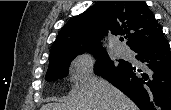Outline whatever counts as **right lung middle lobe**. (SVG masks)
<instances>
[{"instance_id":"obj_1","label":"right lung middle lobe","mask_w":171,"mask_h":110,"mask_svg":"<svg viewBox=\"0 0 171 110\" xmlns=\"http://www.w3.org/2000/svg\"><path fill=\"white\" fill-rule=\"evenodd\" d=\"M89 53L93 54L98 59L96 62V70L99 75H105L126 64V62L123 61L119 64H115L109 58L105 50L90 51ZM76 55L77 54L58 56L49 61V67L45 79L47 81H52L65 77L67 75L69 64Z\"/></svg>"}]
</instances>
